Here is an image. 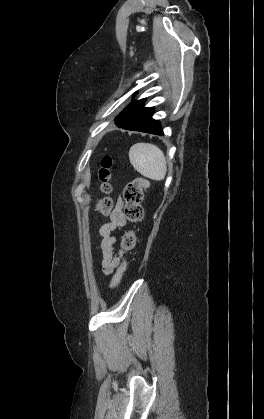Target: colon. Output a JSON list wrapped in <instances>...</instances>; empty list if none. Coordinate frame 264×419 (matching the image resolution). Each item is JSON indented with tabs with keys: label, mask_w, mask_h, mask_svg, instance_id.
Listing matches in <instances>:
<instances>
[{
	"label": "colon",
	"mask_w": 264,
	"mask_h": 419,
	"mask_svg": "<svg viewBox=\"0 0 264 419\" xmlns=\"http://www.w3.org/2000/svg\"><path fill=\"white\" fill-rule=\"evenodd\" d=\"M112 166V159L107 156L102 160V167L99 171L100 179V190L104 194H108L111 191V186L109 183L110 179V168ZM148 187V181L143 177H137L130 183H128L124 188V214L126 218L132 223H138L143 218V208L142 200L144 196V191ZM112 203L108 198H103L98 202V209L107 213L111 210ZM137 237L134 229H129L124 232L121 239V247L125 252H131L136 245ZM127 267L126 260L122 261L119 265L111 283L112 288H116L125 273Z\"/></svg>",
	"instance_id": "1"
}]
</instances>
